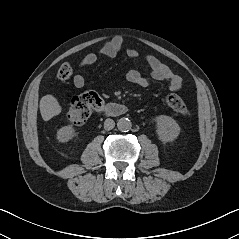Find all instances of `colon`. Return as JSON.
Wrapping results in <instances>:
<instances>
[{
    "instance_id": "5ec220e1",
    "label": "colon",
    "mask_w": 239,
    "mask_h": 239,
    "mask_svg": "<svg viewBox=\"0 0 239 239\" xmlns=\"http://www.w3.org/2000/svg\"><path fill=\"white\" fill-rule=\"evenodd\" d=\"M72 74L73 69L69 64L61 65L57 72V76L61 80L69 79ZM67 103V118L73 125L84 124L93 112L98 111L102 107V99L95 92L75 95L70 98ZM167 104L180 116L187 117L189 115L188 109L178 95H168Z\"/></svg>"
}]
</instances>
